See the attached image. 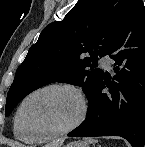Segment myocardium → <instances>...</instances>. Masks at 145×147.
I'll use <instances>...</instances> for the list:
<instances>
[{"instance_id":"obj_1","label":"myocardium","mask_w":145,"mask_h":147,"mask_svg":"<svg viewBox=\"0 0 145 147\" xmlns=\"http://www.w3.org/2000/svg\"><path fill=\"white\" fill-rule=\"evenodd\" d=\"M50 90H66V91L73 93L79 101L80 110H79V113H78L77 117L75 118V120L71 124L66 126L65 128H62V129L56 130V131H52V132H45V133H39V134H29L34 141L51 139V138H56V137L66 135V134L72 132L73 130H75L77 127H79L82 124V122L85 120L86 115H87V111H88L87 100H86L83 92L78 87H76L72 84H68V83H53V84L42 86V87L30 92L21 101V103L17 109L16 115H15V123L21 131L24 132V129H23L22 123H21V116H22V112H23V109H24L26 103L35 95L40 94L45 91H50Z\"/></svg>"}]
</instances>
